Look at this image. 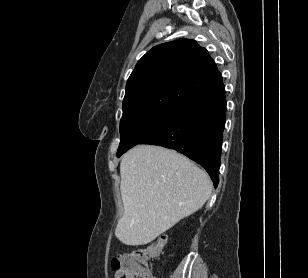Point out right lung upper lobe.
<instances>
[{"instance_id": "right-lung-upper-lobe-1", "label": "right lung upper lobe", "mask_w": 308, "mask_h": 278, "mask_svg": "<svg viewBox=\"0 0 308 278\" xmlns=\"http://www.w3.org/2000/svg\"><path fill=\"white\" fill-rule=\"evenodd\" d=\"M223 86L215 62L196 41L163 43L148 51L131 73L121 120L151 110L179 111Z\"/></svg>"}]
</instances>
